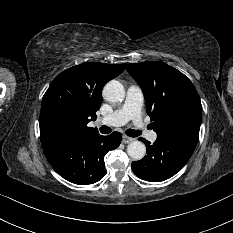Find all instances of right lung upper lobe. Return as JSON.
<instances>
[{
  "mask_svg": "<svg viewBox=\"0 0 233 233\" xmlns=\"http://www.w3.org/2000/svg\"><path fill=\"white\" fill-rule=\"evenodd\" d=\"M123 70V64L89 62L60 73L42 100L39 118L42 147L97 133L87 123L97 117L103 86Z\"/></svg>",
  "mask_w": 233,
  "mask_h": 233,
  "instance_id": "obj_1",
  "label": "right lung upper lobe"
}]
</instances>
